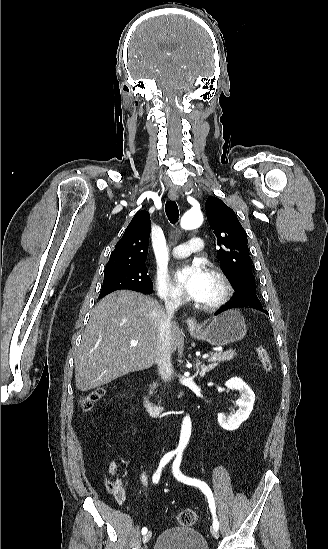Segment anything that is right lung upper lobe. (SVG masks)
<instances>
[{
  "mask_svg": "<svg viewBox=\"0 0 328 549\" xmlns=\"http://www.w3.org/2000/svg\"><path fill=\"white\" fill-rule=\"evenodd\" d=\"M150 228V214L147 211L137 212L127 226L124 235L115 245L105 270L145 262Z\"/></svg>",
  "mask_w": 328,
  "mask_h": 549,
  "instance_id": "cb5924a9",
  "label": "right lung upper lobe"
}]
</instances>
